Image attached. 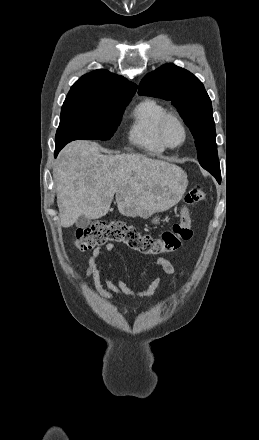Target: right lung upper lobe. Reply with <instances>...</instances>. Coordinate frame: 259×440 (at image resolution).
<instances>
[{
  "label": "right lung upper lobe",
  "mask_w": 259,
  "mask_h": 440,
  "mask_svg": "<svg viewBox=\"0 0 259 440\" xmlns=\"http://www.w3.org/2000/svg\"><path fill=\"white\" fill-rule=\"evenodd\" d=\"M137 85L123 77L99 69L83 75L71 87L65 101H78L96 105H110L132 98Z\"/></svg>",
  "instance_id": "1"
}]
</instances>
